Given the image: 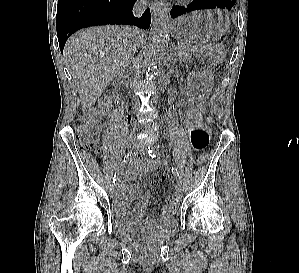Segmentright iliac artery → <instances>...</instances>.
Masks as SVG:
<instances>
[{
	"instance_id": "1",
	"label": "right iliac artery",
	"mask_w": 299,
	"mask_h": 273,
	"mask_svg": "<svg viewBox=\"0 0 299 273\" xmlns=\"http://www.w3.org/2000/svg\"><path fill=\"white\" fill-rule=\"evenodd\" d=\"M136 157V153L134 152H131V153H128L125 157H124V160H123V163L120 165L118 171L115 172L114 174V177H113V183L116 182L117 180V177L119 175V172L120 170L125 166V164H128V163H131L132 160H134V158Z\"/></svg>"
}]
</instances>
